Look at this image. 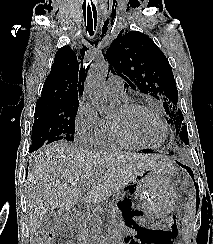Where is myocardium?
Listing matches in <instances>:
<instances>
[{
	"label": "myocardium",
	"instance_id": "myocardium-1",
	"mask_svg": "<svg viewBox=\"0 0 213 244\" xmlns=\"http://www.w3.org/2000/svg\"><path fill=\"white\" fill-rule=\"evenodd\" d=\"M124 108L127 109L128 111L145 110V111L150 112L152 115H154V117L158 120V122L160 123V125L163 128V138L156 145L144 144V143H141V142L135 140L134 138H132L130 135H128L125 132V130L122 127H120L116 123L112 122L115 133L119 137V139H121L123 142H125L126 144H128L132 147L141 148V149H155L164 144V142L166 141L167 136H168V128H167L166 123L164 122V120L162 119V117L156 110H154L152 107H150L148 105H144V104H140V103H128V104L124 105Z\"/></svg>",
	"mask_w": 213,
	"mask_h": 244
}]
</instances>
